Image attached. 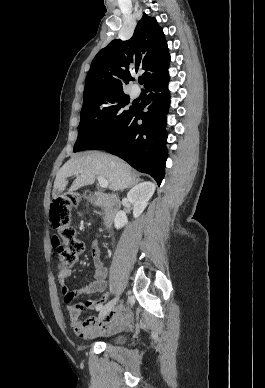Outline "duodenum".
Wrapping results in <instances>:
<instances>
[{"mask_svg":"<svg viewBox=\"0 0 265 388\" xmlns=\"http://www.w3.org/2000/svg\"><path fill=\"white\" fill-rule=\"evenodd\" d=\"M92 201L95 205L103 208V223L105 227H110L120 208L119 199L114 195L96 193L92 197Z\"/></svg>","mask_w":265,"mask_h":388,"instance_id":"410a0bca","label":"duodenum"}]
</instances>
